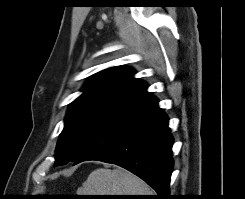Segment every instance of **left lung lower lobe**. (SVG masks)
I'll return each mask as SVG.
<instances>
[{
    "mask_svg": "<svg viewBox=\"0 0 245 199\" xmlns=\"http://www.w3.org/2000/svg\"><path fill=\"white\" fill-rule=\"evenodd\" d=\"M172 144L168 118L158 100L146 91L93 137L74 164L86 160L117 164L154 188L157 199H166L173 168Z\"/></svg>",
    "mask_w": 245,
    "mask_h": 199,
    "instance_id": "0a47b994",
    "label": "left lung lower lobe"
}]
</instances>
